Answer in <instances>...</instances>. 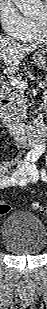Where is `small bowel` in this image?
<instances>
[{"label":"small bowel","mask_w":47,"mask_h":309,"mask_svg":"<svg viewBox=\"0 0 47 309\" xmlns=\"http://www.w3.org/2000/svg\"><path fill=\"white\" fill-rule=\"evenodd\" d=\"M44 150V145L39 144L29 150L15 167L6 163L1 169L0 188L21 187L28 183L46 181L45 169L35 165Z\"/></svg>","instance_id":"obj_1"}]
</instances>
